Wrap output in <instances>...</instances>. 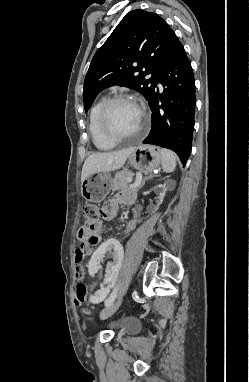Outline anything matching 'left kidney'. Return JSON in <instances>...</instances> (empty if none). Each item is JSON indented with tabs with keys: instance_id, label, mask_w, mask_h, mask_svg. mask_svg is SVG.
Instances as JSON below:
<instances>
[{
	"instance_id": "1",
	"label": "left kidney",
	"mask_w": 249,
	"mask_h": 382,
	"mask_svg": "<svg viewBox=\"0 0 249 382\" xmlns=\"http://www.w3.org/2000/svg\"><path fill=\"white\" fill-rule=\"evenodd\" d=\"M175 181L168 179L164 184L156 185L154 189V195L152 197L153 203H158L156 209L162 204L165 193L168 190H172L175 187ZM158 195V196H157ZM150 202L148 201H138V208H148L150 207ZM101 245L93 254L89 262V272L91 276H96L97 273H103V282L99 286V289L92 292L89 296V306L97 307L98 302H104L105 298H110V291L108 287H114L118 272L121 268L122 261L124 258V251L127 245H121V241L118 237H107ZM102 257H113L114 260H107V266H102Z\"/></svg>"
}]
</instances>
